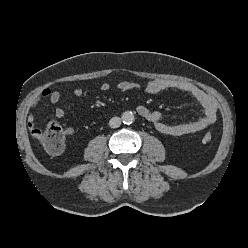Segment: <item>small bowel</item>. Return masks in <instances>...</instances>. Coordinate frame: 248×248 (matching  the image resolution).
I'll return each mask as SVG.
<instances>
[{
    "mask_svg": "<svg viewBox=\"0 0 248 248\" xmlns=\"http://www.w3.org/2000/svg\"><path fill=\"white\" fill-rule=\"evenodd\" d=\"M139 88V84L128 80H122L117 84V89L122 92L136 90ZM168 89L179 90L191 95L200 104L202 113L200 118L195 121L180 124H169L163 121L162 114L159 111H153L144 105H138L136 107L137 113L145 120L150 122L157 131L170 136H181L203 131L216 121V101L196 85L183 80L165 79L150 80L144 85V90L147 94H156ZM100 90L102 92H109L111 90V86L109 83L104 82L100 85ZM73 94L75 97L79 98L83 95V90L79 87H76L73 89ZM44 99H48L50 103L54 105V114L57 118H62L64 116L65 112L63 108L58 106V103L61 100V93L59 91L52 90L50 88L44 89L38 98L33 102L32 108L37 107L38 103ZM27 120L28 128L31 134L38 138L37 131L39 129L35 123V114L30 112ZM66 133L71 135L73 133V129L67 128Z\"/></svg>",
    "mask_w": 248,
    "mask_h": 248,
    "instance_id": "small-bowel-1",
    "label": "small bowel"
}]
</instances>
